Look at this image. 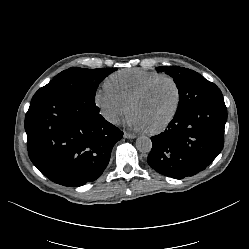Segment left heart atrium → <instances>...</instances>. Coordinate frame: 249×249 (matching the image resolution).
Listing matches in <instances>:
<instances>
[{
    "instance_id": "left-heart-atrium-1",
    "label": "left heart atrium",
    "mask_w": 249,
    "mask_h": 249,
    "mask_svg": "<svg viewBox=\"0 0 249 249\" xmlns=\"http://www.w3.org/2000/svg\"><path fill=\"white\" fill-rule=\"evenodd\" d=\"M123 122L130 128L137 131H146V127L142 123L140 116L134 110H129L123 118Z\"/></svg>"
}]
</instances>
